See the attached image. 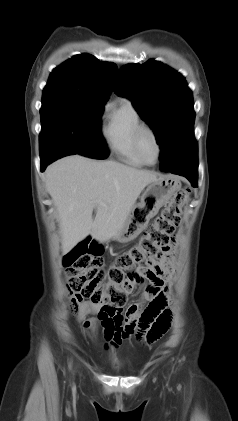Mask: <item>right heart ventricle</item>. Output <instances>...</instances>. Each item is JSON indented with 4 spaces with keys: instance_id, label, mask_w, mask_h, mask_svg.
<instances>
[{
    "instance_id": "right-heart-ventricle-1",
    "label": "right heart ventricle",
    "mask_w": 238,
    "mask_h": 421,
    "mask_svg": "<svg viewBox=\"0 0 238 421\" xmlns=\"http://www.w3.org/2000/svg\"><path fill=\"white\" fill-rule=\"evenodd\" d=\"M143 121L133 103L123 99L112 106L103 127L104 137L110 149L125 163L141 167L145 162L135 147V133Z\"/></svg>"
}]
</instances>
